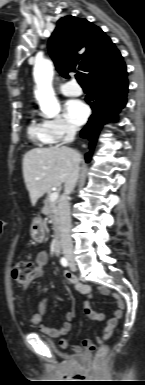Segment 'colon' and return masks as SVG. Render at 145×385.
<instances>
[{"label":"colon","instance_id":"5ec220e1","mask_svg":"<svg viewBox=\"0 0 145 385\" xmlns=\"http://www.w3.org/2000/svg\"><path fill=\"white\" fill-rule=\"evenodd\" d=\"M34 263L30 260H20L15 263L12 271L14 280L20 285H27L32 280L34 274ZM88 350H94V346L87 347ZM108 352L106 346L100 347L96 354V365H99L104 360Z\"/></svg>","mask_w":145,"mask_h":385}]
</instances>
